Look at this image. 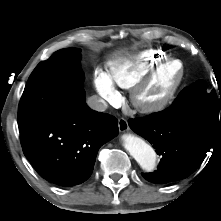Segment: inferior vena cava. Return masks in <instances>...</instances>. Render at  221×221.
Segmentation results:
<instances>
[{
	"label": "inferior vena cava",
	"mask_w": 221,
	"mask_h": 221,
	"mask_svg": "<svg viewBox=\"0 0 221 221\" xmlns=\"http://www.w3.org/2000/svg\"><path fill=\"white\" fill-rule=\"evenodd\" d=\"M87 104L91 109L99 112H104L108 108V104L97 95L89 97Z\"/></svg>",
	"instance_id": "obj_1"
}]
</instances>
